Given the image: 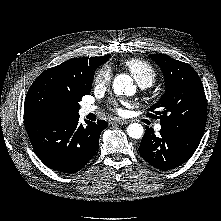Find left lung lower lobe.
I'll list each match as a JSON object with an SVG mask.
<instances>
[{
	"label": "left lung lower lobe",
	"mask_w": 221,
	"mask_h": 221,
	"mask_svg": "<svg viewBox=\"0 0 221 221\" xmlns=\"http://www.w3.org/2000/svg\"><path fill=\"white\" fill-rule=\"evenodd\" d=\"M201 138L192 133L164 128L156 136L152 128L146 127L139 153L153 167L169 170L186 162L196 151Z\"/></svg>",
	"instance_id": "left-lung-lower-lobe-1"
}]
</instances>
